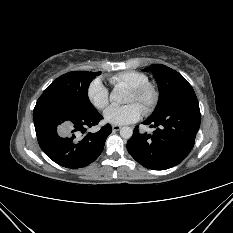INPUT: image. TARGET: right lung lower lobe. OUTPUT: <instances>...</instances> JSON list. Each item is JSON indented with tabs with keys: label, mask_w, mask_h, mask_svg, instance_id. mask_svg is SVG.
Here are the masks:
<instances>
[{
	"label": "right lung lower lobe",
	"mask_w": 233,
	"mask_h": 233,
	"mask_svg": "<svg viewBox=\"0 0 233 233\" xmlns=\"http://www.w3.org/2000/svg\"><path fill=\"white\" fill-rule=\"evenodd\" d=\"M97 110L74 109L53 95L42 94L34 108L33 119L38 143L55 163L66 168H81L101 154L111 133L109 124L96 133L80 132L97 125L102 119Z\"/></svg>",
	"instance_id": "1"
}]
</instances>
